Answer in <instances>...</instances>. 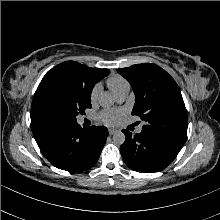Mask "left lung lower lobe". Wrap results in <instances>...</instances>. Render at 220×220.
<instances>
[{
	"label": "left lung lower lobe",
	"mask_w": 220,
	"mask_h": 220,
	"mask_svg": "<svg viewBox=\"0 0 220 220\" xmlns=\"http://www.w3.org/2000/svg\"><path fill=\"white\" fill-rule=\"evenodd\" d=\"M122 132L126 136L120 147L122 158L130 169L137 172L162 171L182 148L163 137L144 131L135 135L125 129Z\"/></svg>",
	"instance_id": "0a47b994"
}]
</instances>
